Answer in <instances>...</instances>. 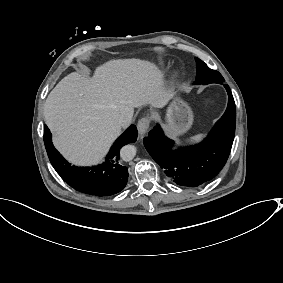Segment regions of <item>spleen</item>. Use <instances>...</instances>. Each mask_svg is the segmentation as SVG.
Returning <instances> with one entry per match:
<instances>
[{
  "label": "spleen",
  "mask_w": 283,
  "mask_h": 283,
  "mask_svg": "<svg viewBox=\"0 0 283 283\" xmlns=\"http://www.w3.org/2000/svg\"><path fill=\"white\" fill-rule=\"evenodd\" d=\"M203 136H204L203 134H198V135L192 137L191 140H193V141H200Z\"/></svg>",
  "instance_id": "spleen-1"
}]
</instances>
